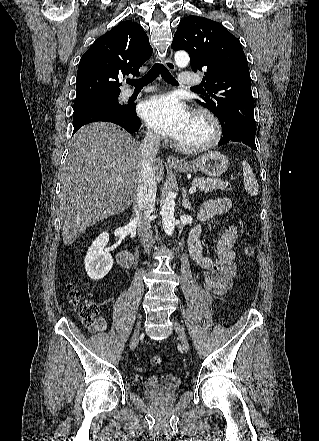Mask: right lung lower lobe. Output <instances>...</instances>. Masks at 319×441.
<instances>
[{
  "mask_svg": "<svg viewBox=\"0 0 319 441\" xmlns=\"http://www.w3.org/2000/svg\"><path fill=\"white\" fill-rule=\"evenodd\" d=\"M112 122L134 133L140 128V120L135 113V104L128 105L126 112H120L112 109H95L73 116L74 130L73 134L83 125L91 122Z\"/></svg>",
  "mask_w": 319,
  "mask_h": 441,
  "instance_id": "obj_1",
  "label": "right lung lower lobe"
}]
</instances>
